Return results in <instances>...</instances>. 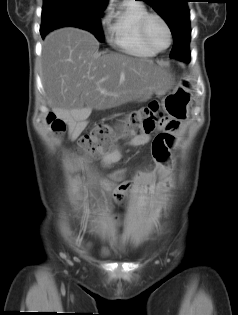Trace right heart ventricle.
Returning <instances> with one entry per match:
<instances>
[{
  "instance_id": "e07e8e85",
  "label": "right heart ventricle",
  "mask_w": 238,
  "mask_h": 315,
  "mask_svg": "<svg viewBox=\"0 0 238 315\" xmlns=\"http://www.w3.org/2000/svg\"><path fill=\"white\" fill-rule=\"evenodd\" d=\"M148 13L143 4L135 0H123L107 19L106 35L109 44L129 55L155 56L157 52L145 44L140 34V23Z\"/></svg>"
}]
</instances>
